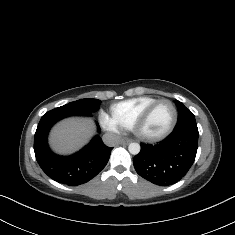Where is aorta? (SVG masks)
Listing matches in <instances>:
<instances>
[{"mask_svg":"<svg viewBox=\"0 0 235 235\" xmlns=\"http://www.w3.org/2000/svg\"><path fill=\"white\" fill-rule=\"evenodd\" d=\"M128 150L131 154L137 155L140 152L141 147L138 143H130L128 146Z\"/></svg>","mask_w":235,"mask_h":235,"instance_id":"1","label":"aorta"}]
</instances>
